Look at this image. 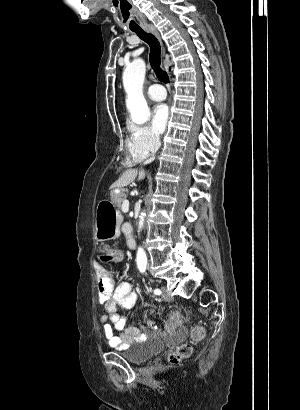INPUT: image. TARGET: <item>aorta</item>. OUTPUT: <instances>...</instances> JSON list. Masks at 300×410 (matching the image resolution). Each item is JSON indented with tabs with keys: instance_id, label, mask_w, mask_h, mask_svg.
<instances>
[{
	"instance_id": "1",
	"label": "aorta",
	"mask_w": 300,
	"mask_h": 410,
	"mask_svg": "<svg viewBox=\"0 0 300 410\" xmlns=\"http://www.w3.org/2000/svg\"><path fill=\"white\" fill-rule=\"evenodd\" d=\"M146 65L144 60H133L123 72V85L127 94L126 106L131 118L136 124H144L150 117V110L143 95V83L145 79ZM146 213L143 211L139 216V231L143 228ZM136 263L139 271L144 272L147 267V255L140 246L136 254Z\"/></svg>"
}]
</instances>
